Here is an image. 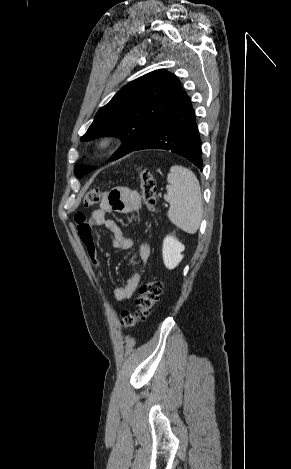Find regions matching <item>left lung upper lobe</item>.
Segmentation results:
<instances>
[{"mask_svg":"<svg viewBox=\"0 0 291 469\" xmlns=\"http://www.w3.org/2000/svg\"><path fill=\"white\" fill-rule=\"evenodd\" d=\"M185 96L175 75L163 69L150 72L117 92L97 112L81 140L89 141L103 135L119 136L123 145L110 160L119 159L158 126ZM92 170V167L76 166L75 175L81 177Z\"/></svg>","mask_w":291,"mask_h":469,"instance_id":"5c2ea615","label":"left lung upper lobe"}]
</instances>
